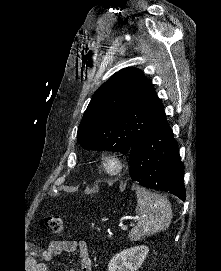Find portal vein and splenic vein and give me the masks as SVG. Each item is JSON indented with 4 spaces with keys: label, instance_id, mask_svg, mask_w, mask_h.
Segmentation results:
<instances>
[{
    "label": "portal vein and splenic vein",
    "instance_id": "1",
    "mask_svg": "<svg viewBox=\"0 0 221 271\" xmlns=\"http://www.w3.org/2000/svg\"><path fill=\"white\" fill-rule=\"evenodd\" d=\"M134 219H137V217H134ZM123 229H127V225H122Z\"/></svg>",
    "mask_w": 221,
    "mask_h": 271
}]
</instances>
